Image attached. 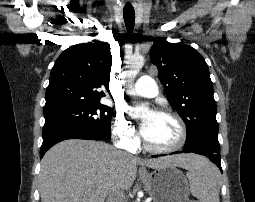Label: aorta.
<instances>
[{"mask_svg": "<svg viewBox=\"0 0 255 202\" xmlns=\"http://www.w3.org/2000/svg\"><path fill=\"white\" fill-rule=\"evenodd\" d=\"M144 62H145V59L141 55L133 56L126 61L127 69L123 73V76H124L125 82L128 83L130 87H132L133 79L137 75V73L140 71V69L143 67ZM148 112H149L148 106L146 104H142L136 107L134 115L135 117H142Z\"/></svg>", "mask_w": 255, "mask_h": 202, "instance_id": "aorta-1", "label": "aorta"}]
</instances>
